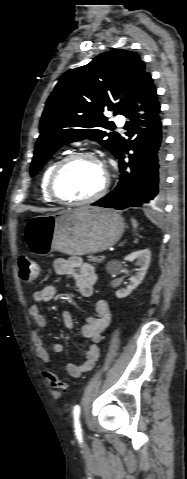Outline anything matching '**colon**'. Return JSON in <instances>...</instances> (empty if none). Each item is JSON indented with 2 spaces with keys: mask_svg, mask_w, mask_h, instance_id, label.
<instances>
[{
  "mask_svg": "<svg viewBox=\"0 0 187 479\" xmlns=\"http://www.w3.org/2000/svg\"><path fill=\"white\" fill-rule=\"evenodd\" d=\"M18 268L21 279L26 283L35 281L39 274V267L35 261L25 255L18 259ZM45 377L54 390L65 391L67 384L53 370L46 368Z\"/></svg>",
  "mask_w": 187,
  "mask_h": 479,
  "instance_id": "obj_1",
  "label": "colon"
}]
</instances>
